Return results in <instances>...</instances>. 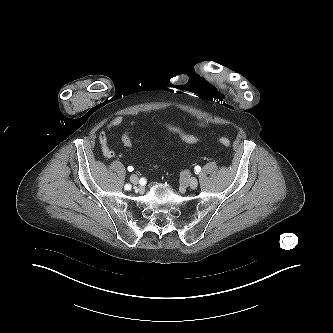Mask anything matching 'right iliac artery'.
I'll use <instances>...</instances> for the list:
<instances>
[{
    "label": "right iliac artery",
    "instance_id": "obj_1",
    "mask_svg": "<svg viewBox=\"0 0 333 333\" xmlns=\"http://www.w3.org/2000/svg\"><path fill=\"white\" fill-rule=\"evenodd\" d=\"M131 189V185L130 184H126L125 185V190H130Z\"/></svg>",
    "mask_w": 333,
    "mask_h": 333
}]
</instances>
